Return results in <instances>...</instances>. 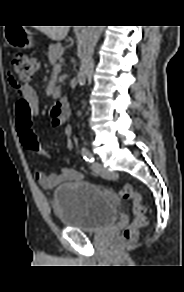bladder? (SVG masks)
I'll list each match as a JSON object with an SVG mask.
<instances>
[{"mask_svg": "<svg viewBox=\"0 0 184 292\" xmlns=\"http://www.w3.org/2000/svg\"><path fill=\"white\" fill-rule=\"evenodd\" d=\"M52 207L66 228L102 233L119 214V198L91 183H68L56 189Z\"/></svg>", "mask_w": 184, "mask_h": 292, "instance_id": "31cf9c89", "label": "bladder"}]
</instances>
